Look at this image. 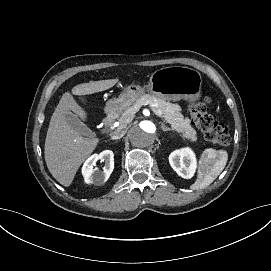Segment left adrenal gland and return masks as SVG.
I'll return each instance as SVG.
<instances>
[{"label": "left adrenal gland", "mask_w": 271, "mask_h": 271, "mask_svg": "<svg viewBox=\"0 0 271 271\" xmlns=\"http://www.w3.org/2000/svg\"><path fill=\"white\" fill-rule=\"evenodd\" d=\"M161 128H162V130L163 131H171V130H173L172 128H169V127H167L165 124H161Z\"/></svg>", "instance_id": "obj_1"}]
</instances>
